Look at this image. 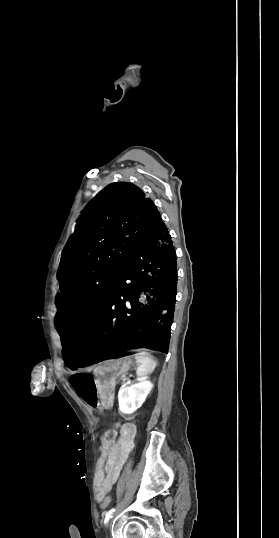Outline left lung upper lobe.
<instances>
[{
  "label": "left lung upper lobe",
  "instance_id": "obj_1",
  "mask_svg": "<svg viewBox=\"0 0 279 538\" xmlns=\"http://www.w3.org/2000/svg\"><path fill=\"white\" fill-rule=\"evenodd\" d=\"M160 216L137 186L108 185L84 209L59 265L58 333L91 325L134 250Z\"/></svg>",
  "mask_w": 279,
  "mask_h": 538
}]
</instances>
